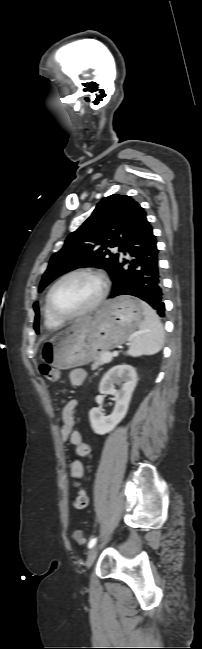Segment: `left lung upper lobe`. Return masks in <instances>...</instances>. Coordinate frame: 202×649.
I'll use <instances>...</instances> for the list:
<instances>
[{
    "instance_id": "left-lung-upper-lobe-1",
    "label": "left lung upper lobe",
    "mask_w": 202,
    "mask_h": 649,
    "mask_svg": "<svg viewBox=\"0 0 202 649\" xmlns=\"http://www.w3.org/2000/svg\"><path fill=\"white\" fill-rule=\"evenodd\" d=\"M145 215L144 209L130 196L113 194L103 198L92 215L68 236L63 248L51 257L38 291L59 275L80 267H103L111 273L120 256L108 248L120 247L127 233ZM33 307L34 329L38 333V302Z\"/></svg>"
}]
</instances>
